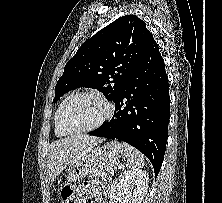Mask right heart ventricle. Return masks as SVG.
Listing matches in <instances>:
<instances>
[{
	"instance_id": "e07e8e85",
	"label": "right heart ventricle",
	"mask_w": 222,
	"mask_h": 203,
	"mask_svg": "<svg viewBox=\"0 0 222 203\" xmlns=\"http://www.w3.org/2000/svg\"><path fill=\"white\" fill-rule=\"evenodd\" d=\"M66 101V99H63L59 105L56 108L55 114H54V132L58 137H64L69 135L70 133L67 132L66 130H64L60 123H59V114H60V110L64 104V102Z\"/></svg>"
}]
</instances>
